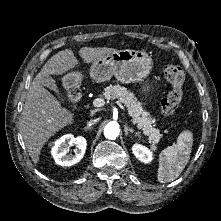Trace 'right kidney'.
<instances>
[{
    "instance_id": "ca27d5eb",
    "label": "right kidney",
    "mask_w": 221,
    "mask_h": 221,
    "mask_svg": "<svg viewBox=\"0 0 221 221\" xmlns=\"http://www.w3.org/2000/svg\"><path fill=\"white\" fill-rule=\"evenodd\" d=\"M73 144L77 147L75 154H67V147ZM86 147L87 141L84 137L75 138L72 134H66L54 142L51 154L58 165L72 166L83 158Z\"/></svg>"
}]
</instances>
